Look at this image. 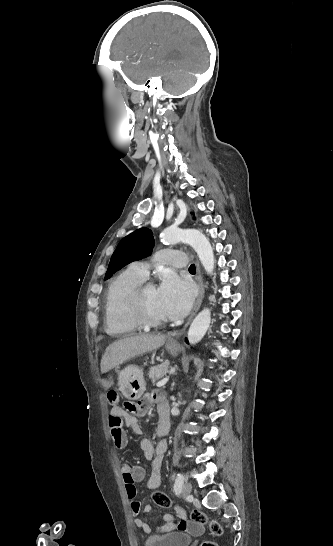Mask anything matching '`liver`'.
Segmentation results:
<instances>
[{
    "mask_svg": "<svg viewBox=\"0 0 333 546\" xmlns=\"http://www.w3.org/2000/svg\"><path fill=\"white\" fill-rule=\"evenodd\" d=\"M165 341V335L145 334L120 339L106 348L101 359V373L104 374L135 356L157 350Z\"/></svg>",
    "mask_w": 333,
    "mask_h": 546,
    "instance_id": "liver-1",
    "label": "liver"
}]
</instances>
